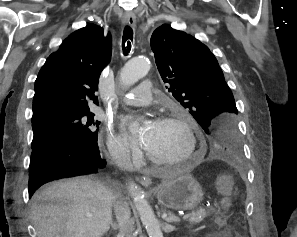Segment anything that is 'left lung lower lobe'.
<instances>
[{
  "label": "left lung lower lobe",
  "instance_id": "1",
  "mask_svg": "<svg viewBox=\"0 0 297 237\" xmlns=\"http://www.w3.org/2000/svg\"><path fill=\"white\" fill-rule=\"evenodd\" d=\"M209 153H210L212 156H217V157H220V156H219V155H217L215 152L209 151Z\"/></svg>",
  "mask_w": 297,
  "mask_h": 237
}]
</instances>
